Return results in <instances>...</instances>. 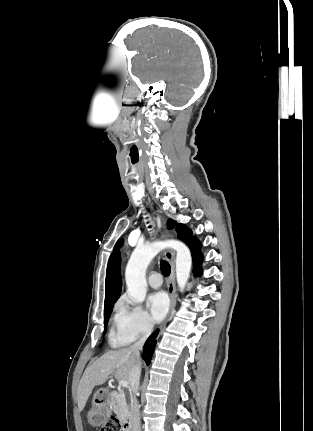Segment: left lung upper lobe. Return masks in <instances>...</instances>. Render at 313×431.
Listing matches in <instances>:
<instances>
[{"mask_svg": "<svg viewBox=\"0 0 313 431\" xmlns=\"http://www.w3.org/2000/svg\"><path fill=\"white\" fill-rule=\"evenodd\" d=\"M168 228L169 229L175 228L177 237L183 242H185L186 244H188L194 238L192 235V231L189 228H187L184 224H176V222L173 221L172 219L168 220ZM122 244H123V239H120L116 243L115 249L121 247Z\"/></svg>", "mask_w": 313, "mask_h": 431, "instance_id": "left-lung-upper-lobe-1", "label": "left lung upper lobe"}]
</instances>
